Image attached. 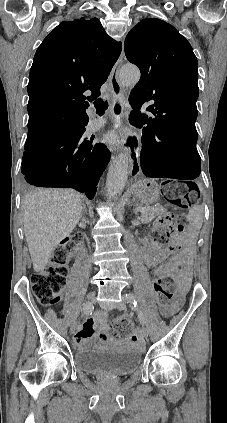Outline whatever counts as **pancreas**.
<instances>
[{
    "instance_id": "pancreas-1",
    "label": "pancreas",
    "mask_w": 227,
    "mask_h": 423,
    "mask_svg": "<svg viewBox=\"0 0 227 423\" xmlns=\"http://www.w3.org/2000/svg\"><path fill=\"white\" fill-rule=\"evenodd\" d=\"M146 208H151V206H146ZM153 208L154 210L143 211L142 221H149V219H152V217L163 211V208H160V206H153Z\"/></svg>"
}]
</instances>
